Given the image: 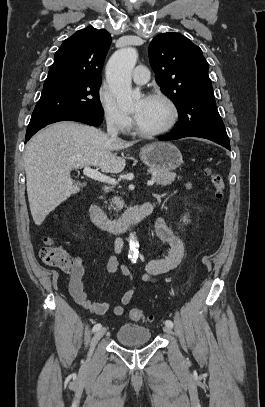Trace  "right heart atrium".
I'll list each match as a JSON object with an SVG mask.
<instances>
[{"label":"right heart atrium","mask_w":265,"mask_h":407,"mask_svg":"<svg viewBox=\"0 0 265 407\" xmlns=\"http://www.w3.org/2000/svg\"><path fill=\"white\" fill-rule=\"evenodd\" d=\"M98 102L106 123L119 132L127 131L131 126V118L123 112L112 94L105 86L98 90Z\"/></svg>","instance_id":"1"}]
</instances>
